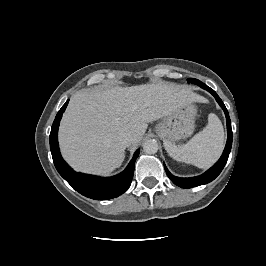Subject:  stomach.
Here are the masks:
<instances>
[{
    "mask_svg": "<svg viewBox=\"0 0 266 266\" xmlns=\"http://www.w3.org/2000/svg\"><path fill=\"white\" fill-rule=\"evenodd\" d=\"M196 114L195 105L189 103L166 116L155 126V132L164 144H175L193 134Z\"/></svg>",
    "mask_w": 266,
    "mask_h": 266,
    "instance_id": "0dacf381",
    "label": "stomach"
}]
</instances>
